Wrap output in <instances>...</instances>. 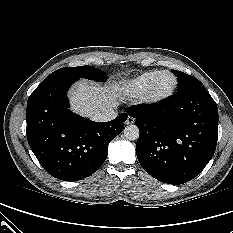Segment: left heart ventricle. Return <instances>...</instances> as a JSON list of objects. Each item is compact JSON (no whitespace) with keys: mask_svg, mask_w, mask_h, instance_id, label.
I'll use <instances>...</instances> for the list:
<instances>
[{"mask_svg":"<svg viewBox=\"0 0 233 233\" xmlns=\"http://www.w3.org/2000/svg\"><path fill=\"white\" fill-rule=\"evenodd\" d=\"M174 80L172 76L165 74L162 75L154 85L153 93L155 95H162L168 92L173 86Z\"/></svg>","mask_w":233,"mask_h":233,"instance_id":"b2bd125f","label":"left heart ventricle"}]
</instances>
